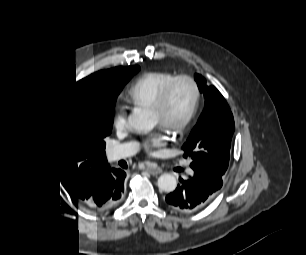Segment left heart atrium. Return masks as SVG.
Listing matches in <instances>:
<instances>
[{"mask_svg": "<svg viewBox=\"0 0 306 255\" xmlns=\"http://www.w3.org/2000/svg\"><path fill=\"white\" fill-rule=\"evenodd\" d=\"M164 144V138L160 134H155L151 136L146 142H145V148L149 152H153L155 147L162 146Z\"/></svg>", "mask_w": 306, "mask_h": 255, "instance_id": "left-heart-atrium-1", "label": "left heart atrium"}]
</instances>
